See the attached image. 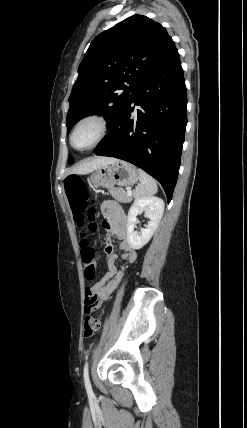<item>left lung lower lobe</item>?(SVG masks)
Wrapping results in <instances>:
<instances>
[{
  "label": "left lung lower lobe",
  "mask_w": 247,
  "mask_h": 428,
  "mask_svg": "<svg viewBox=\"0 0 247 428\" xmlns=\"http://www.w3.org/2000/svg\"><path fill=\"white\" fill-rule=\"evenodd\" d=\"M186 124V86L175 49L139 84L94 153L143 169L160 182L170 202Z\"/></svg>",
  "instance_id": "obj_1"
}]
</instances>
